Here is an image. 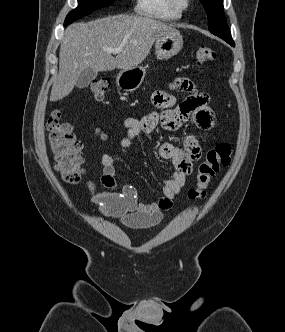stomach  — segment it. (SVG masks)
Listing matches in <instances>:
<instances>
[{
  "label": "stomach",
  "instance_id": "obj_1",
  "mask_svg": "<svg viewBox=\"0 0 285 332\" xmlns=\"http://www.w3.org/2000/svg\"><path fill=\"white\" fill-rule=\"evenodd\" d=\"M183 47L180 33L172 29L167 34L160 36L155 43V53L158 59H169L176 55ZM146 70L137 66L129 70H122L116 78L117 86L125 91H135L142 84Z\"/></svg>",
  "mask_w": 285,
  "mask_h": 332
}]
</instances>
